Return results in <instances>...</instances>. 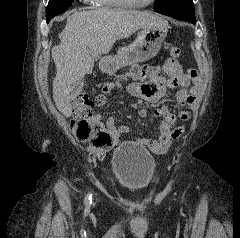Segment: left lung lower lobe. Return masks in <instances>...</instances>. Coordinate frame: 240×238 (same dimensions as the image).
I'll return each mask as SVG.
<instances>
[{
  "instance_id": "obj_1",
  "label": "left lung lower lobe",
  "mask_w": 240,
  "mask_h": 238,
  "mask_svg": "<svg viewBox=\"0 0 240 238\" xmlns=\"http://www.w3.org/2000/svg\"><path fill=\"white\" fill-rule=\"evenodd\" d=\"M158 13L175 18L177 20H183L186 22H190L192 24H195V22H196V18L194 15H189V14L176 12V11H160Z\"/></svg>"
}]
</instances>
